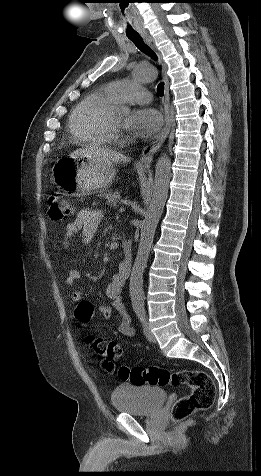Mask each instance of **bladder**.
<instances>
[{
  "label": "bladder",
  "instance_id": "31cf9c89",
  "mask_svg": "<svg viewBox=\"0 0 261 476\" xmlns=\"http://www.w3.org/2000/svg\"><path fill=\"white\" fill-rule=\"evenodd\" d=\"M166 392L159 386L125 384L111 394L114 408L133 416H148L159 410L166 400Z\"/></svg>",
  "mask_w": 261,
  "mask_h": 476
}]
</instances>
